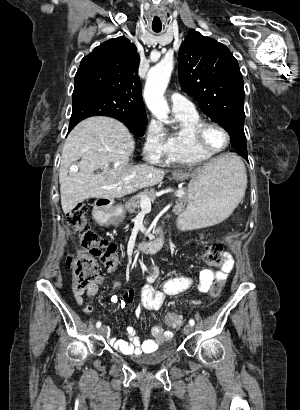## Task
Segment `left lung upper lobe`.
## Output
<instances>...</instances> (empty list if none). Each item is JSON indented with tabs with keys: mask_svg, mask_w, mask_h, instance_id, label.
I'll use <instances>...</instances> for the list:
<instances>
[{
	"mask_svg": "<svg viewBox=\"0 0 300 410\" xmlns=\"http://www.w3.org/2000/svg\"><path fill=\"white\" fill-rule=\"evenodd\" d=\"M178 77L185 92L231 137L232 147L248 154L244 133V84L237 60L216 40L190 30L178 54Z\"/></svg>",
	"mask_w": 300,
	"mask_h": 410,
	"instance_id": "obj_1",
	"label": "left lung upper lobe"
}]
</instances>
